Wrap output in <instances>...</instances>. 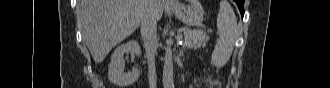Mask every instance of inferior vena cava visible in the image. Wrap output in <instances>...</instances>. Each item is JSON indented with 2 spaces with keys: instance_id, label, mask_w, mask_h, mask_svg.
Here are the masks:
<instances>
[{
  "instance_id": "1",
  "label": "inferior vena cava",
  "mask_w": 330,
  "mask_h": 88,
  "mask_svg": "<svg viewBox=\"0 0 330 88\" xmlns=\"http://www.w3.org/2000/svg\"><path fill=\"white\" fill-rule=\"evenodd\" d=\"M155 0H149V7L141 17V37L144 42L148 61V79L150 88H156L155 54L157 50V18L152 6Z\"/></svg>"
}]
</instances>
